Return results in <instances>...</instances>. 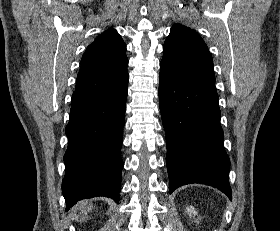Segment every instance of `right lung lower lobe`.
<instances>
[{
	"label": "right lung lower lobe",
	"instance_id": "98d812e1",
	"mask_svg": "<svg viewBox=\"0 0 280 231\" xmlns=\"http://www.w3.org/2000/svg\"><path fill=\"white\" fill-rule=\"evenodd\" d=\"M127 94L124 86L87 102L71 104L62 182L66 211L77 201L96 196L119 202Z\"/></svg>",
	"mask_w": 280,
	"mask_h": 231
}]
</instances>
